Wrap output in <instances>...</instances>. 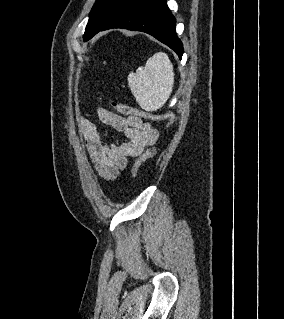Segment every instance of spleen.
<instances>
[{
    "instance_id": "spleen-1",
    "label": "spleen",
    "mask_w": 284,
    "mask_h": 319,
    "mask_svg": "<svg viewBox=\"0 0 284 319\" xmlns=\"http://www.w3.org/2000/svg\"><path fill=\"white\" fill-rule=\"evenodd\" d=\"M128 84L136 101L145 111L161 108L171 95L174 84L173 65L166 53L158 52L145 66L128 75Z\"/></svg>"
}]
</instances>
